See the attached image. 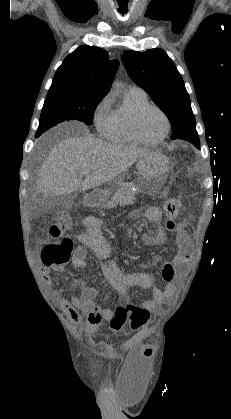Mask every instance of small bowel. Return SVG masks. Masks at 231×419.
Instances as JSON below:
<instances>
[{
  "instance_id": "obj_1",
  "label": "small bowel",
  "mask_w": 231,
  "mask_h": 419,
  "mask_svg": "<svg viewBox=\"0 0 231 419\" xmlns=\"http://www.w3.org/2000/svg\"><path fill=\"white\" fill-rule=\"evenodd\" d=\"M142 215L156 227L154 233L144 235L143 242L148 246L162 245L164 242V233L161 228V210L158 207H150ZM82 225L85 228V232L78 238L81 244L73 253V266L76 268L85 267L87 265V252L88 250L93 251L98 259L100 271L120 296L126 297L133 288L142 290L150 289L151 297L143 301L139 307L148 313V317L150 314H159L162 311L163 304L168 302L174 295L176 282L171 280L165 289H160L153 285L152 279L147 273L126 272L122 270L109 258L112 246L102 234V220L94 216H86L82 219ZM176 247L177 252L173 258V264L177 267H182L189 261L193 250L192 242L187 234L184 223H180L176 229ZM155 260L159 261L160 258L157 257ZM42 274L48 285L54 283L55 279L51 276L49 268H45ZM78 286L80 288L79 297H73L71 299L60 298L59 304L74 323L80 321L79 312L86 314V329L90 334H93L97 331L102 318L109 320L113 310L109 308L101 309L100 315H96L94 308L97 306L95 299L99 294L98 289L84 282L78 283ZM56 293L60 295V291Z\"/></svg>"
}]
</instances>
